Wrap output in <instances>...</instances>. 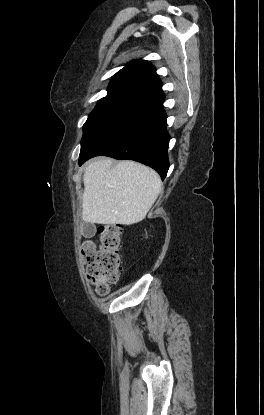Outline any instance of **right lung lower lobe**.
Listing matches in <instances>:
<instances>
[{
    "mask_svg": "<svg viewBox=\"0 0 264 415\" xmlns=\"http://www.w3.org/2000/svg\"><path fill=\"white\" fill-rule=\"evenodd\" d=\"M164 94L142 101L129 110L87 148L80 151L79 164L105 155L130 159L155 169L162 179L169 169V134L163 108Z\"/></svg>",
    "mask_w": 264,
    "mask_h": 415,
    "instance_id": "1",
    "label": "right lung lower lobe"
}]
</instances>
